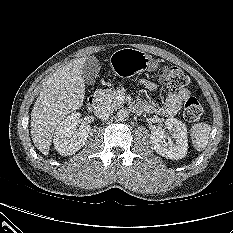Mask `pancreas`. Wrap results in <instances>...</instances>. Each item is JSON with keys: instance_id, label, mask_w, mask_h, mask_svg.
I'll use <instances>...</instances> for the list:
<instances>
[{"instance_id": "1", "label": "pancreas", "mask_w": 233, "mask_h": 233, "mask_svg": "<svg viewBox=\"0 0 233 233\" xmlns=\"http://www.w3.org/2000/svg\"><path fill=\"white\" fill-rule=\"evenodd\" d=\"M99 97L101 103L110 105L112 107L119 106L123 104V101L119 100L117 97V91L112 89H99L95 93Z\"/></svg>"}]
</instances>
